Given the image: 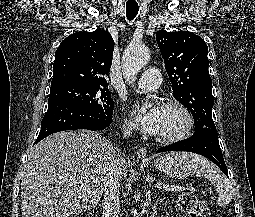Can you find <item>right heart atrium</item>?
<instances>
[{
	"label": "right heart atrium",
	"instance_id": "1",
	"mask_svg": "<svg viewBox=\"0 0 255 217\" xmlns=\"http://www.w3.org/2000/svg\"><path fill=\"white\" fill-rule=\"evenodd\" d=\"M124 128H125V130H126L127 132H131L132 129H133V126H132V124H130L129 122H125Z\"/></svg>",
	"mask_w": 255,
	"mask_h": 217
}]
</instances>
